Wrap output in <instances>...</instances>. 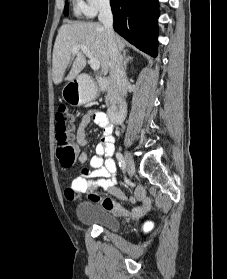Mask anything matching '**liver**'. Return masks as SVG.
<instances>
[{"label": "liver", "mask_w": 227, "mask_h": 279, "mask_svg": "<svg viewBox=\"0 0 227 279\" xmlns=\"http://www.w3.org/2000/svg\"><path fill=\"white\" fill-rule=\"evenodd\" d=\"M115 42L119 50L125 47L124 40L115 35ZM76 45L86 46L93 57L99 60L104 75L109 71L110 53L108 48L107 33L103 25L93 22H68L63 24L55 40L52 58V78L58 85L64 80L74 79L86 66L84 53L79 50L72 53ZM75 55L72 68L66 78L65 70L70 63L71 56Z\"/></svg>", "instance_id": "liver-1"}]
</instances>
